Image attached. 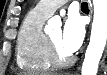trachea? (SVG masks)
Masks as SVG:
<instances>
[{
    "instance_id": "3493384b",
    "label": "trachea",
    "mask_w": 107,
    "mask_h": 75,
    "mask_svg": "<svg viewBox=\"0 0 107 75\" xmlns=\"http://www.w3.org/2000/svg\"><path fill=\"white\" fill-rule=\"evenodd\" d=\"M81 8H82V9H88V4H87L86 2H83V3L81 4Z\"/></svg>"
}]
</instances>
